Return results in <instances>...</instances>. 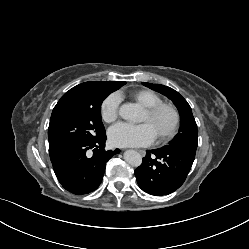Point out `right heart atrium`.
<instances>
[{"label": "right heart atrium", "mask_w": 249, "mask_h": 249, "mask_svg": "<svg viewBox=\"0 0 249 249\" xmlns=\"http://www.w3.org/2000/svg\"><path fill=\"white\" fill-rule=\"evenodd\" d=\"M120 98L117 94H111L104 99L101 105L102 119L107 123L116 121L119 116Z\"/></svg>", "instance_id": "d8ad5b80"}]
</instances>
